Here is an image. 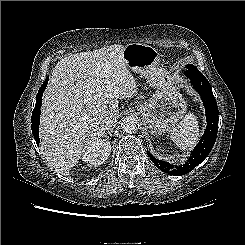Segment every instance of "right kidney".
<instances>
[{"label":"right kidney","instance_id":"obj_1","mask_svg":"<svg viewBox=\"0 0 245 245\" xmlns=\"http://www.w3.org/2000/svg\"><path fill=\"white\" fill-rule=\"evenodd\" d=\"M110 151V142L105 139H98L87 147L82 160L93 166L101 165L108 159Z\"/></svg>","mask_w":245,"mask_h":245}]
</instances>
